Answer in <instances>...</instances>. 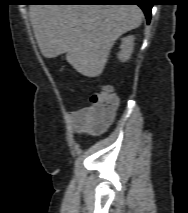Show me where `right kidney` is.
Masks as SVG:
<instances>
[{"mask_svg":"<svg viewBox=\"0 0 188 213\" xmlns=\"http://www.w3.org/2000/svg\"><path fill=\"white\" fill-rule=\"evenodd\" d=\"M134 48V36H127L122 39L120 46V52L118 54V59L122 62H126L130 59Z\"/></svg>","mask_w":188,"mask_h":213,"instance_id":"1","label":"right kidney"}]
</instances>
